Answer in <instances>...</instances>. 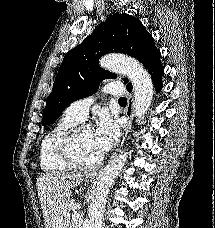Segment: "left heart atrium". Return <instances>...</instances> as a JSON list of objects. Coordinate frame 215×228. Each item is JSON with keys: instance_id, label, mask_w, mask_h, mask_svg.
<instances>
[{"instance_id": "obj_1", "label": "left heart atrium", "mask_w": 215, "mask_h": 228, "mask_svg": "<svg viewBox=\"0 0 215 228\" xmlns=\"http://www.w3.org/2000/svg\"><path fill=\"white\" fill-rule=\"evenodd\" d=\"M119 137V127L116 120L109 114L103 113L99 117V123L94 130V145L102 156L116 143Z\"/></svg>"}]
</instances>
